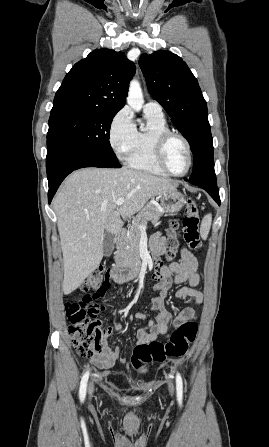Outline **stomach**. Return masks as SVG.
Returning <instances> with one entry per match:
<instances>
[{
  "label": "stomach",
  "instance_id": "0dacf381",
  "mask_svg": "<svg viewBox=\"0 0 269 447\" xmlns=\"http://www.w3.org/2000/svg\"><path fill=\"white\" fill-rule=\"evenodd\" d=\"M161 196V206L164 208L165 212H168V214L180 212L184 204H186V200L180 192H163Z\"/></svg>",
  "mask_w": 269,
  "mask_h": 447
}]
</instances>
